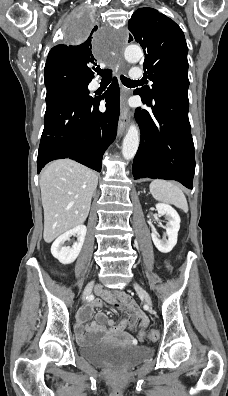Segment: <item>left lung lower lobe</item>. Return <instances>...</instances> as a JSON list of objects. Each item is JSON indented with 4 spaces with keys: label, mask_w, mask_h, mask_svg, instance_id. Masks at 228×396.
<instances>
[{
    "label": "left lung lower lobe",
    "mask_w": 228,
    "mask_h": 396,
    "mask_svg": "<svg viewBox=\"0 0 228 396\" xmlns=\"http://www.w3.org/2000/svg\"><path fill=\"white\" fill-rule=\"evenodd\" d=\"M142 98V97H141ZM152 112L137 108L141 140L133 161L134 178L176 180L193 188L194 144L188 118V91L160 89L152 100L142 98Z\"/></svg>",
    "instance_id": "left-lung-lower-lobe-1"
}]
</instances>
